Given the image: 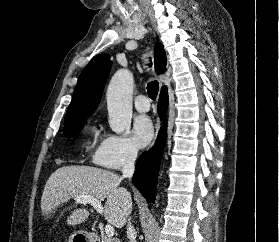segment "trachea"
<instances>
[{"instance_id":"1","label":"trachea","mask_w":279,"mask_h":242,"mask_svg":"<svg viewBox=\"0 0 279 242\" xmlns=\"http://www.w3.org/2000/svg\"><path fill=\"white\" fill-rule=\"evenodd\" d=\"M150 65H152V63H150ZM158 90H159L158 81L154 80V81H151L147 84V92H148L149 97L152 100L156 99L157 94H158Z\"/></svg>"}]
</instances>
